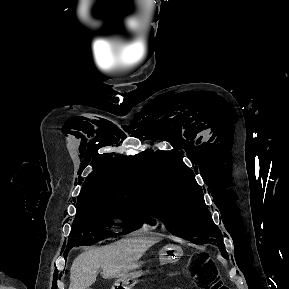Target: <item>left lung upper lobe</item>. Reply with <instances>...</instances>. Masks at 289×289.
I'll list each match as a JSON object with an SVG mask.
<instances>
[{
	"mask_svg": "<svg viewBox=\"0 0 289 289\" xmlns=\"http://www.w3.org/2000/svg\"><path fill=\"white\" fill-rule=\"evenodd\" d=\"M139 207L164 225L173 226L194 244L213 243L228 258L222 233L214 224L194 173L169 152L147 150L138 155Z\"/></svg>",
	"mask_w": 289,
	"mask_h": 289,
	"instance_id": "5c2ea615",
	"label": "left lung upper lobe"
}]
</instances>
